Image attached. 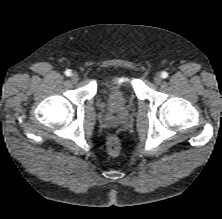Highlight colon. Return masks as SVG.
Returning a JSON list of instances; mask_svg holds the SVG:
<instances>
[{"label": "colon", "mask_w": 222, "mask_h": 219, "mask_svg": "<svg viewBox=\"0 0 222 219\" xmlns=\"http://www.w3.org/2000/svg\"><path fill=\"white\" fill-rule=\"evenodd\" d=\"M107 152L112 157H117L121 152V141L117 135H112L106 143Z\"/></svg>", "instance_id": "colon-1"}]
</instances>
